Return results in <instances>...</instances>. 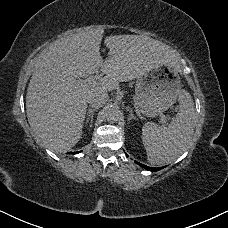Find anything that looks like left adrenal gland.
I'll list each match as a JSON object with an SVG mask.
<instances>
[{
    "label": "left adrenal gland",
    "instance_id": "obj_1",
    "mask_svg": "<svg viewBox=\"0 0 228 228\" xmlns=\"http://www.w3.org/2000/svg\"><path fill=\"white\" fill-rule=\"evenodd\" d=\"M129 113H130V114H129V117H128V121H130V120H132V119L138 120V119L136 118V116H134L132 109H129Z\"/></svg>",
    "mask_w": 228,
    "mask_h": 228
}]
</instances>
